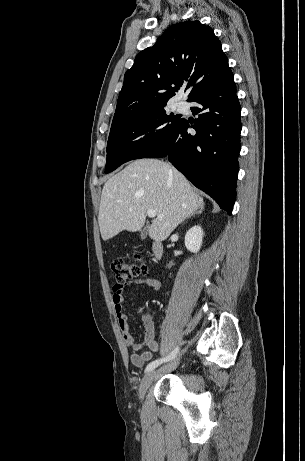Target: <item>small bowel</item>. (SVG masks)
<instances>
[{
  "instance_id": "c3829d8e",
  "label": "small bowel",
  "mask_w": 305,
  "mask_h": 461,
  "mask_svg": "<svg viewBox=\"0 0 305 461\" xmlns=\"http://www.w3.org/2000/svg\"><path fill=\"white\" fill-rule=\"evenodd\" d=\"M129 285L145 286L153 290H158L160 281L154 277H142L130 282ZM124 288L125 284L121 282H117L112 286V302L117 315L118 324L123 332L125 343L131 351V363L141 368L146 362L152 359L153 353L159 350L157 342V323L152 314H142L141 319L144 326V339L139 342L134 338L130 333L127 317L123 312ZM144 347L148 349L146 350Z\"/></svg>"
}]
</instances>
